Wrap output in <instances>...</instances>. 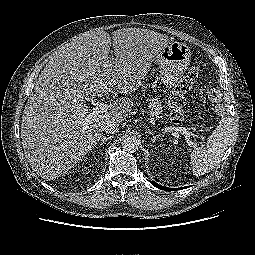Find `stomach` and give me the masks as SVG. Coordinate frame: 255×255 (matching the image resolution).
<instances>
[{
	"instance_id": "0dacf381",
	"label": "stomach",
	"mask_w": 255,
	"mask_h": 255,
	"mask_svg": "<svg viewBox=\"0 0 255 255\" xmlns=\"http://www.w3.org/2000/svg\"><path fill=\"white\" fill-rule=\"evenodd\" d=\"M191 59L189 47L181 42H169L156 59L161 81L166 87H172L184 74Z\"/></svg>"
}]
</instances>
